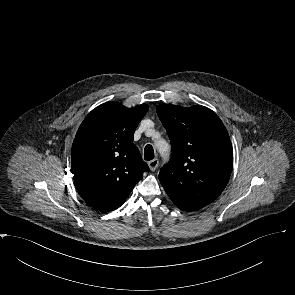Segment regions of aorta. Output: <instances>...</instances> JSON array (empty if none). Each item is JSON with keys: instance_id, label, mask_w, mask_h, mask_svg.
Instances as JSON below:
<instances>
[{"instance_id": "aorta-1", "label": "aorta", "mask_w": 295, "mask_h": 295, "mask_svg": "<svg viewBox=\"0 0 295 295\" xmlns=\"http://www.w3.org/2000/svg\"><path fill=\"white\" fill-rule=\"evenodd\" d=\"M157 146L161 150L163 147H168V144L165 141H160Z\"/></svg>"}]
</instances>
